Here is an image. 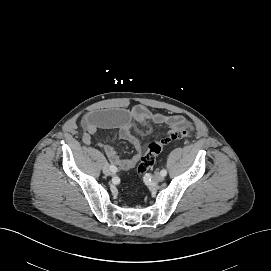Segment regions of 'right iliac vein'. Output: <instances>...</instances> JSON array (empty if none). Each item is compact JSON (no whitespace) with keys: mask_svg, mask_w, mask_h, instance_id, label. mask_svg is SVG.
<instances>
[{"mask_svg":"<svg viewBox=\"0 0 271 271\" xmlns=\"http://www.w3.org/2000/svg\"><path fill=\"white\" fill-rule=\"evenodd\" d=\"M103 173L105 174V175H112V171H111V169H110V167L109 166H107V165H105L104 166V168H103Z\"/></svg>","mask_w":271,"mask_h":271,"instance_id":"obj_1","label":"right iliac vein"}]
</instances>
